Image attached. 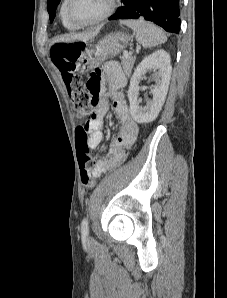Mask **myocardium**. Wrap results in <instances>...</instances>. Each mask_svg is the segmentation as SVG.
<instances>
[{"label": "myocardium", "instance_id": "obj_1", "mask_svg": "<svg viewBox=\"0 0 227 298\" xmlns=\"http://www.w3.org/2000/svg\"><path fill=\"white\" fill-rule=\"evenodd\" d=\"M72 0H66V5H65V14H66V18L68 19V21L74 25L75 27H86V26H91V25H95L98 24L104 20H106L108 17H110L113 12L116 9V4H117V0H107V7L105 9V11L98 16L97 18L87 21V22H77L76 20L73 19V17L71 16L70 13V4H71Z\"/></svg>", "mask_w": 227, "mask_h": 298}]
</instances>
